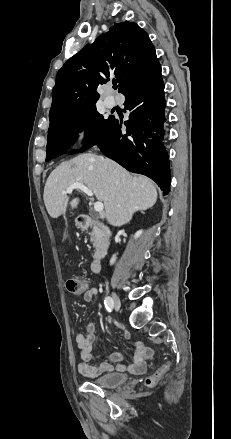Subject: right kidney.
<instances>
[{
	"label": "right kidney",
	"instance_id": "obj_1",
	"mask_svg": "<svg viewBox=\"0 0 231 439\" xmlns=\"http://www.w3.org/2000/svg\"><path fill=\"white\" fill-rule=\"evenodd\" d=\"M142 234V230H139L135 233V239L139 238L140 235ZM116 261V255H113V257L110 260V263L113 264Z\"/></svg>",
	"mask_w": 231,
	"mask_h": 439
}]
</instances>
